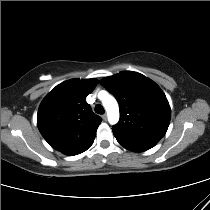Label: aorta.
<instances>
[{
	"label": "aorta",
	"instance_id": "aorta-1",
	"mask_svg": "<svg viewBox=\"0 0 210 210\" xmlns=\"http://www.w3.org/2000/svg\"><path fill=\"white\" fill-rule=\"evenodd\" d=\"M103 94L102 104L107 112L108 121L111 125L116 124L119 121V106L116 99L105 91L100 92Z\"/></svg>",
	"mask_w": 210,
	"mask_h": 210
}]
</instances>
